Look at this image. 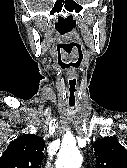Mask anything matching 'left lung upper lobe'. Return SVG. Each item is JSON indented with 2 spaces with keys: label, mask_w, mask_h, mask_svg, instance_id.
Returning a JSON list of instances; mask_svg holds the SVG:
<instances>
[{
  "label": "left lung upper lobe",
  "mask_w": 127,
  "mask_h": 168,
  "mask_svg": "<svg viewBox=\"0 0 127 168\" xmlns=\"http://www.w3.org/2000/svg\"><path fill=\"white\" fill-rule=\"evenodd\" d=\"M93 148L98 168H127V150L115 137H104Z\"/></svg>",
  "instance_id": "left-lung-upper-lobe-1"
}]
</instances>
